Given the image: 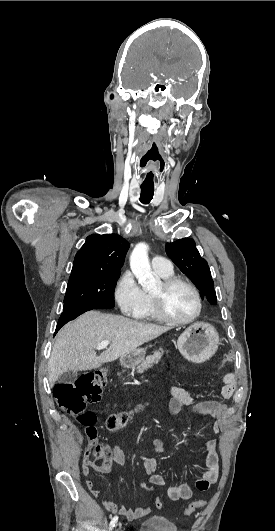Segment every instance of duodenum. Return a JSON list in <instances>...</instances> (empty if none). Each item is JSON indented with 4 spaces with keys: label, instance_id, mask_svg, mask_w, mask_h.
Masks as SVG:
<instances>
[{
    "label": "duodenum",
    "instance_id": "1",
    "mask_svg": "<svg viewBox=\"0 0 275 531\" xmlns=\"http://www.w3.org/2000/svg\"><path fill=\"white\" fill-rule=\"evenodd\" d=\"M120 365H128L130 363V357L128 356H121L119 359Z\"/></svg>",
    "mask_w": 275,
    "mask_h": 531
}]
</instances>
